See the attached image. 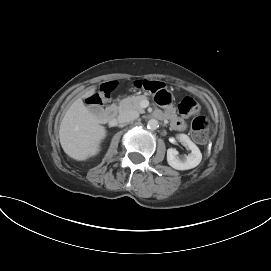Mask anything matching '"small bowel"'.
I'll list each match as a JSON object with an SVG mask.
<instances>
[{"label":"small bowel","mask_w":271,"mask_h":271,"mask_svg":"<svg viewBox=\"0 0 271 271\" xmlns=\"http://www.w3.org/2000/svg\"><path fill=\"white\" fill-rule=\"evenodd\" d=\"M167 116L169 117L171 124L175 129H177V130L184 129V121L175 114V112L172 108H170L167 111Z\"/></svg>","instance_id":"obj_1"}]
</instances>
